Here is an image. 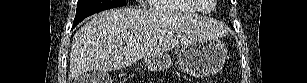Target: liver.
Segmentation results:
<instances>
[{
	"label": "liver",
	"instance_id": "liver-1",
	"mask_svg": "<svg viewBox=\"0 0 307 83\" xmlns=\"http://www.w3.org/2000/svg\"><path fill=\"white\" fill-rule=\"evenodd\" d=\"M223 32L221 25L198 16L131 9L101 12L74 35L69 81L89 71L121 69L179 44L218 38Z\"/></svg>",
	"mask_w": 307,
	"mask_h": 83
}]
</instances>
